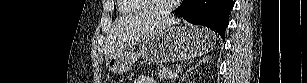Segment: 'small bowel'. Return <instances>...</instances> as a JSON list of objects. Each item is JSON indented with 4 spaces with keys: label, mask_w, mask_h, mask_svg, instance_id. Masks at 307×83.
I'll return each mask as SVG.
<instances>
[{
    "label": "small bowel",
    "mask_w": 307,
    "mask_h": 83,
    "mask_svg": "<svg viewBox=\"0 0 307 83\" xmlns=\"http://www.w3.org/2000/svg\"><path fill=\"white\" fill-rule=\"evenodd\" d=\"M137 82L138 83H156L152 78L146 77V76L140 77Z\"/></svg>",
    "instance_id": "c3829d8e"
}]
</instances>
